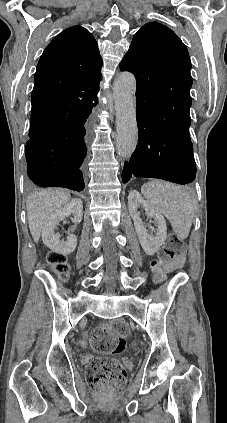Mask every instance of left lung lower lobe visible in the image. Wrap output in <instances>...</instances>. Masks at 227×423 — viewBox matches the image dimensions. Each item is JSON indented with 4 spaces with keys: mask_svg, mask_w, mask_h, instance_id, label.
Masks as SVG:
<instances>
[{
    "mask_svg": "<svg viewBox=\"0 0 227 423\" xmlns=\"http://www.w3.org/2000/svg\"><path fill=\"white\" fill-rule=\"evenodd\" d=\"M138 144L125 162L122 181L131 177L158 178L188 184L196 164L189 135L190 112H157L136 107Z\"/></svg>",
    "mask_w": 227,
    "mask_h": 423,
    "instance_id": "left-lung-lower-lobe-1",
    "label": "left lung lower lobe"
}]
</instances>
